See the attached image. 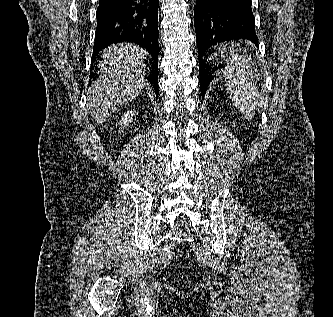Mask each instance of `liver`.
I'll list each match as a JSON object with an SVG mask.
<instances>
[{
    "mask_svg": "<svg viewBox=\"0 0 333 317\" xmlns=\"http://www.w3.org/2000/svg\"><path fill=\"white\" fill-rule=\"evenodd\" d=\"M147 52L137 45L119 43L104 50L100 76L90 86L88 106L93 119L102 124L120 107L135 99L145 84Z\"/></svg>",
    "mask_w": 333,
    "mask_h": 317,
    "instance_id": "obj_1",
    "label": "liver"
}]
</instances>
